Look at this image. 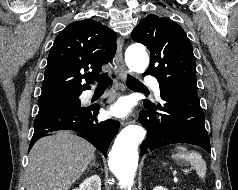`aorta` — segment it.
I'll use <instances>...</instances> for the list:
<instances>
[{"label":"aorta","instance_id":"aorta-1","mask_svg":"<svg viewBox=\"0 0 238 190\" xmlns=\"http://www.w3.org/2000/svg\"><path fill=\"white\" fill-rule=\"evenodd\" d=\"M125 61L131 71L143 73L149 64L145 47L139 43L131 45L125 54ZM145 130L130 125L118 134L109 153V168L118 178L120 185L131 190L138 165V146L145 137Z\"/></svg>","mask_w":238,"mask_h":190}]
</instances>
